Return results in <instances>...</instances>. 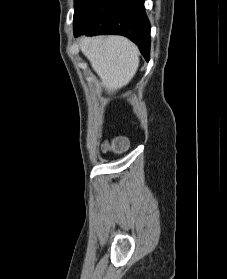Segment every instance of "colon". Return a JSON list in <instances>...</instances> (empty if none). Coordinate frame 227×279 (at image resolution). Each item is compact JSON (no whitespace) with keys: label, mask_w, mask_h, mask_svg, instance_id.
I'll return each mask as SVG.
<instances>
[{"label":"colon","mask_w":227,"mask_h":279,"mask_svg":"<svg viewBox=\"0 0 227 279\" xmlns=\"http://www.w3.org/2000/svg\"><path fill=\"white\" fill-rule=\"evenodd\" d=\"M127 148V143L123 142V141H117L114 142L111 146H106L104 149L108 150V149H112L116 152H122L124 150H126Z\"/></svg>","instance_id":"5ec220e1"}]
</instances>
